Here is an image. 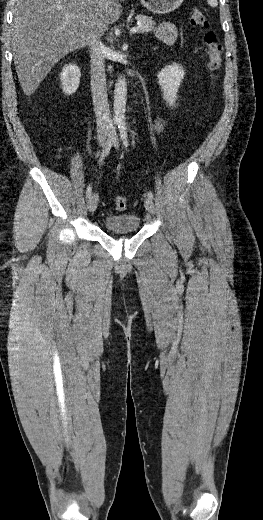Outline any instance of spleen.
Wrapping results in <instances>:
<instances>
[{
  "label": "spleen",
  "instance_id": "obj_1",
  "mask_svg": "<svg viewBox=\"0 0 263 520\" xmlns=\"http://www.w3.org/2000/svg\"><path fill=\"white\" fill-rule=\"evenodd\" d=\"M207 2L212 7H217V5H218L217 0H207Z\"/></svg>",
  "mask_w": 263,
  "mask_h": 520
}]
</instances>
